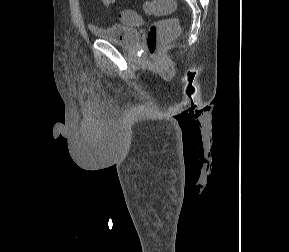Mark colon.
<instances>
[{"label": "colon", "instance_id": "1", "mask_svg": "<svg viewBox=\"0 0 289 252\" xmlns=\"http://www.w3.org/2000/svg\"><path fill=\"white\" fill-rule=\"evenodd\" d=\"M147 13L153 15H168L175 9L174 0H148L144 4ZM120 17L128 25H138L141 17L134 11L124 10ZM179 33V23L174 18H167L154 22L147 31L146 45L149 55L155 58L160 48L175 38Z\"/></svg>", "mask_w": 289, "mask_h": 252}]
</instances>
